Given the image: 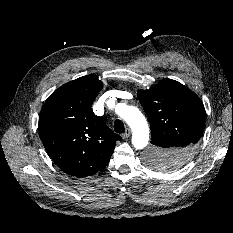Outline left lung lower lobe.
Returning a JSON list of instances; mask_svg holds the SVG:
<instances>
[{
	"mask_svg": "<svg viewBox=\"0 0 233 233\" xmlns=\"http://www.w3.org/2000/svg\"><path fill=\"white\" fill-rule=\"evenodd\" d=\"M157 141L159 145L163 146L164 148L170 151L180 149L182 146L185 145L184 140H181L179 138H162L158 139ZM180 160L182 161L183 159Z\"/></svg>",
	"mask_w": 233,
	"mask_h": 233,
	"instance_id": "left-lung-lower-lobe-1",
	"label": "left lung lower lobe"
}]
</instances>
